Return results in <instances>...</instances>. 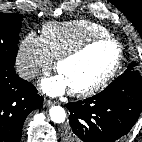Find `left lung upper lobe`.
Instances as JSON below:
<instances>
[{"label":"left lung upper lobe","instance_id":"5c2ea615","mask_svg":"<svg viewBox=\"0 0 142 142\" xmlns=\"http://www.w3.org/2000/svg\"><path fill=\"white\" fill-rule=\"evenodd\" d=\"M134 66H135V65H134V62H132V63L130 64V66L127 68L126 71H132V70H135V69H134ZM126 71H125V72H126Z\"/></svg>","mask_w":142,"mask_h":142}]
</instances>
